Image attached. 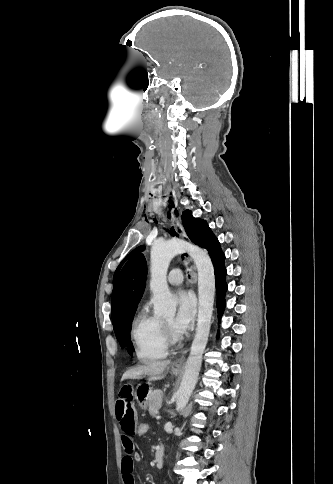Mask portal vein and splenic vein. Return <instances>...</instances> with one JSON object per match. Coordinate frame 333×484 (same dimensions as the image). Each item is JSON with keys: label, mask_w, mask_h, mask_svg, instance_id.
Instances as JSON below:
<instances>
[{"label": "portal vein and splenic vein", "mask_w": 333, "mask_h": 484, "mask_svg": "<svg viewBox=\"0 0 333 484\" xmlns=\"http://www.w3.org/2000/svg\"><path fill=\"white\" fill-rule=\"evenodd\" d=\"M160 418H161V416H159V415L156 416V419H160Z\"/></svg>", "instance_id": "portal-vein-and-splenic-vein-1"}]
</instances>
